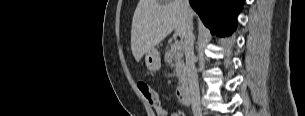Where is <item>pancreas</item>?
Wrapping results in <instances>:
<instances>
[{
    "mask_svg": "<svg viewBox=\"0 0 305 116\" xmlns=\"http://www.w3.org/2000/svg\"><path fill=\"white\" fill-rule=\"evenodd\" d=\"M171 48L167 47L165 53V61L174 69L178 83L181 84L186 78V67L183 60V49H175L172 44Z\"/></svg>",
    "mask_w": 305,
    "mask_h": 116,
    "instance_id": "obj_1",
    "label": "pancreas"
}]
</instances>
